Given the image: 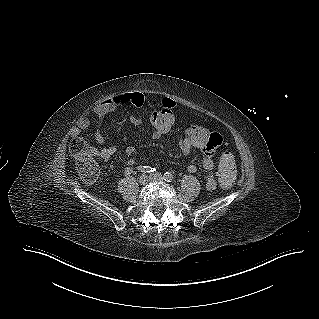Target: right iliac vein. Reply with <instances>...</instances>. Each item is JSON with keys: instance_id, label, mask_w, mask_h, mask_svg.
Returning a JSON list of instances; mask_svg holds the SVG:
<instances>
[{"instance_id": "63e3f726", "label": "right iliac vein", "mask_w": 319, "mask_h": 319, "mask_svg": "<svg viewBox=\"0 0 319 319\" xmlns=\"http://www.w3.org/2000/svg\"><path fill=\"white\" fill-rule=\"evenodd\" d=\"M148 181H149V177L147 175H145V174L140 175L138 177V183L140 185H146L148 183Z\"/></svg>"}]
</instances>
